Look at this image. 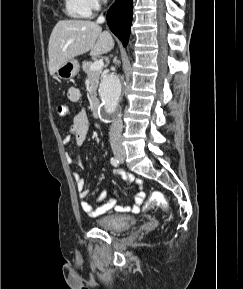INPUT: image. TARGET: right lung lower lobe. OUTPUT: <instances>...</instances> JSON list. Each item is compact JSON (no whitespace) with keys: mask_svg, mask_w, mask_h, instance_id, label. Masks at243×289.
I'll return each instance as SVG.
<instances>
[{"mask_svg":"<svg viewBox=\"0 0 243 289\" xmlns=\"http://www.w3.org/2000/svg\"><path fill=\"white\" fill-rule=\"evenodd\" d=\"M132 0H115L107 13V22L111 31L126 46L129 40L132 22Z\"/></svg>","mask_w":243,"mask_h":289,"instance_id":"98d812e1","label":"right lung lower lobe"}]
</instances>
